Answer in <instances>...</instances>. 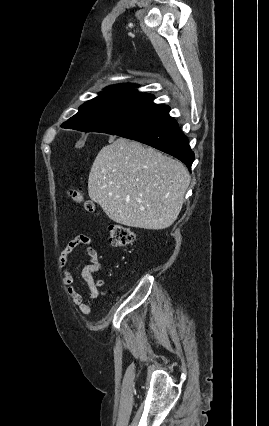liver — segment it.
Wrapping results in <instances>:
<instances>
[{
	"label": "liver",
	"instance_id": "6515ba94",
	"mask_svg": "<svg viewBox=\"0 0 269 426\" xmlns=\"http://www.w3.org/2000/svg\"><path fill=\"white\" fill-rule=\"evenodd\" d=\"M189 183L180 161L121 137L96 156L88 193L114 222L161 230L177 219Z\"/></svg>",
	"mask_w": 269,
	"mask_h": 426
}]
</instances>
